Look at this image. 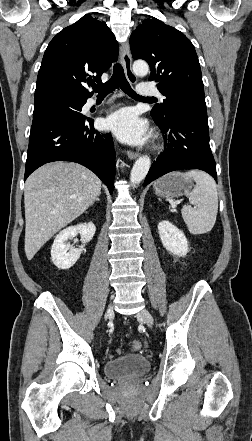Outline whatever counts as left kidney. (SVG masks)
Wrapping results in <instances>:
<instances>
[{
  "label": "left kidney",
  "instance_id": "left-kidney-1",
  "mask_svg": "<svg viewBox=\"0 0 252 441\" xmlns=\"http://www.w3.org/2000/svg\"><path fill=\"white\" fill-rule=\"evenodd\" d=\"M158 232L167 251L177 256H185L189 252L188 241L184 233L169 221H161L158 224Z\"/></svg>",
  "mask_w": 252,
  "mask_h": 441
}]
</instances>
